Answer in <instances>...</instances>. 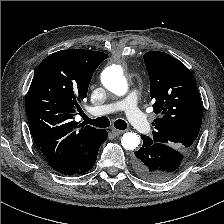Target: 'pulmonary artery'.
<instances>
[{
    "label": "pulmonary artery",
    "mask_w": 224,
    "mask_h": 224,
    "mask_svg": "<svg viewBox=\"0 0 224 224\" xmlns=\"http://www.w3.org/2000/svg\"><path fill=\"white\" fill-rule=\"evenodd\" d=\"M117 110L126 111L130 122L139 133L146 134L149 132L150 123L146 116L138 109V95L135 91L131 92L124 100L91 108L89 112L95 116H102Z\"/></svg>",
    "instance_id": "1"
}]
</instances>
